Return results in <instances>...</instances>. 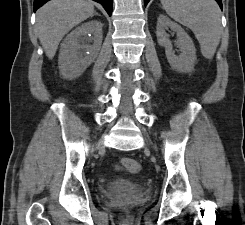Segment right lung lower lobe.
<instances>
[{"instance_id":"98d812e1","label":"right lung lower lobe","mask_w":245,"mask_h":225,"mask_svg":"<svg viewBox=\"0 0 245 225\" xmlns=\"http://www.w3.org/2000/svg\"><path fill=\"white\" fill-rule=\"evenodd\" d=\"M47 1L49 0H34V11H36L40 6H42ZM94 1L102 4L105 10L108 12V14L111 16L113 0H94Z\"/></svg>"}]
</instances>
